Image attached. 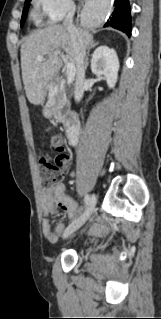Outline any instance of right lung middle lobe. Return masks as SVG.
<instances>
[{
	"mask_svg": "<svg viewBox=\"0 0 161 319\" xmlns=\"http://www.w3.org/2000/svg\"><path fill=\"white\" fill-rule=\"evenodd\" d=\"M30 1L31 0H26V2H25V7L23 9V14H22V19H21V26H23V24H24L25 17L27 15V11H28V8H29Z\"/></svg>",
	"mask_w": 161,
	"mask_h": 319,
	"instance_id": "dd1d6c3e",
	"label": "right lung middle lobe"
}]
</instances>
